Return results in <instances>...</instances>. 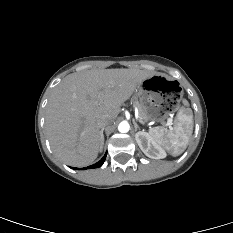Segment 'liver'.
Returning a JSON list of instances; mask_svg holds the SVG:
<instances>
[{
    "mask_svg": "<svg viewBox=\"0 0 233 233\" xmlns=\"http://www.w3.org/2000/svg\"><path fill=\"white\" fill-rule=\"evenodd\" d=\"M151 75L122 68L66 76L53 89L46 107L45 128L54 153L70 166L93 163L102 142L98 121L105 117L112 124L121 105Z\"/></svg>",
    "mask_w": 233,
    "mask_h": 233,
    "instance_id": "liver-1",
    "label": "liver"
}]
</instances>
